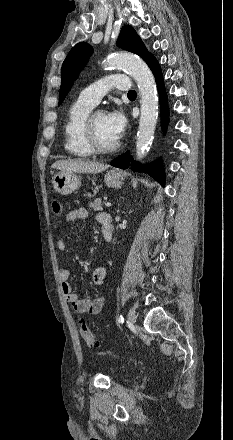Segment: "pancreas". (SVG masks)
I'll return each mask as SVG.
<instances>
[{"label":"pancreas","instance_id":"cf45deb5","mask_svg":"<svg viewBox=\"0 0 233 440\" xmlns=\"http://www.w3.org/2000/svg\"><path fill=\"white\" fill-rule=\"evenodd\" d=\"M102 203H103L102 200L100 198H97L89 204V207L94 211H102L103 210Z\"/></svg>","mask_w":233,"mask_h":440}]
</instances>
